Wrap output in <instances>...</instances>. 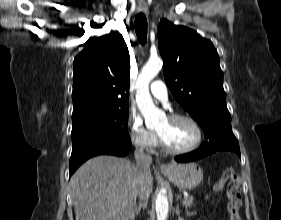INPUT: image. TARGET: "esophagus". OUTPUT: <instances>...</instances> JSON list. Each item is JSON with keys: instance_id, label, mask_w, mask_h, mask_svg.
I'll return each mask as SVG.
<instances>
[{"instance_id": "obj_1", "label": "esophagus", "mask_w": 281, "mask_h": 220, "mask_svg": "<svg viewBox=\"0 0 281 220\" xmlns=\"http://www.w3.org/2000/svg\"><path fill=\"white\" fill-rule=\"evenodd\" d=\"M137 10H138V12H140L142 14L146 12V8L145 7H138ZM170 168H171V166L169 164H162L159 167L160 171H162V172L169 171Z\"/></svg>"}]
</instances>
